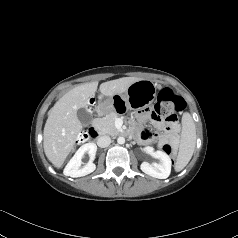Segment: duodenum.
<instances>
[{
	"label": "duodenum",
	"instance_id": "obj_1",
	"mask_svg": "<svg viewBox=\"0 0 238 238\" xmlns=\"http://www.w3.org/2000/svg\"><path fill=\"white\" fill-rule=\"evenodd\" d=\"M89 136L92 138H97L99 136V132L95 127H91L88 130Z\"/></svg>",
	"mask_w": 238,
	"mask_h": 238
}]
</instances>
